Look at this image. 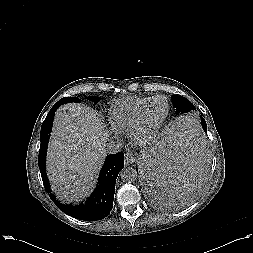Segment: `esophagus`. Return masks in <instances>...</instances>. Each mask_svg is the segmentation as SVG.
I'll return each instance as SVG.
<instances>
[{
  "instance_id": "obj_1",
  "label": "esophagus",
  "mask_w": 253,
  "mask_h": 253,
  "mask_svg": "<svg viewBox=\"0 0 253 253\" xmlns=\"http://www.w3.org/2000/svg\"><path fill=\"white\" fill-rule=\"evenodd\" d=\"M136 161V157L132 152H126L124 156V162L126 165H131Z\"/></svg>"
}]
</instances>
